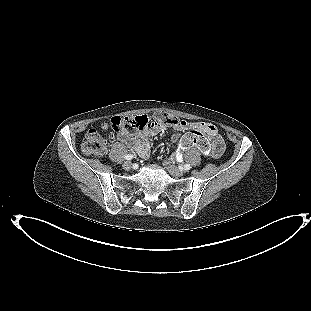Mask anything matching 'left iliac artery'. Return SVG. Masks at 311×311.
<instances>
[{"mask_svg": "<svg viewBox=\"0 0 311 311\" xmlns=\"http://www.w3.org/2000/svg\"><path fill=\"white\" fill-rule=\"evenodd\" d=\"M190 168H191L190 164H185L184 167H183V169H184L185 171L190 170Z\"/></svg>", "mask_w": 311, "mask_h": 311, "instance_id": "left-iliac-artery-1", "label": "left iliac artery"}]
</instances>
